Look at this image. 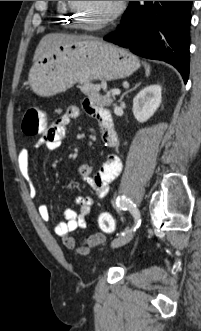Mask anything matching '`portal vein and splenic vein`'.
I'll list each match as a JSON object with an SVG mask.
<instances>
[{
    "label": "portal vein and splenic vein",
    "instance_id": "1",
    "mask_svg": "<svg viewBox=\"0 0 201 331\" xmlns=\"http://www.w3.org/2000/svg\"><path fill=\"white\" fill-rule=\"evenodd\" d=\"M112 95H119L121 93V91L119 89H113L111 91Z\"/></svg>",
    "mask_w": 201,
    "mask_h": 331
}]
</instances>
